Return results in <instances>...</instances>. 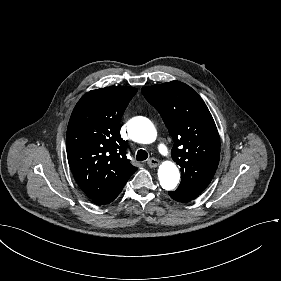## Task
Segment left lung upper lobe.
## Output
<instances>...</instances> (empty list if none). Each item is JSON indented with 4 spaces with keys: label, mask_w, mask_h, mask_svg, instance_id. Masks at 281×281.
<instances>
[{
    "label": "left lung upper lobe",
    "mask_w": 281,
    "mask_h": 281,
    "mask_svg": "<svg viewBox=\"0 0 281 281\" xmlns=\"http://www.w3.org/2000/svg\"><path fill=\"white\" fill-rule=\"evenodd\" d=\"M142 94L173 138L172 158L182 173L178 189L198 196L212 180L220 158L219 134L206 104L179 81L143 87Z\"/></svg>",
    "instance_id": "1"
}]
</instances>
